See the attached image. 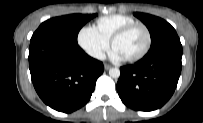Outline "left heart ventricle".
<instances>
[{
  "mask_svg": "<svg viewBox=\"0 0 203 123\" xmlns=\"http://www.w3.org/2000/svg\"><path fill=\"white\" fill-rule=\"evenodd\" d=\"M145 44L146 34L142 28L138 27L119 38L115 42L114 48L119 51L124 58H129L142 51Z\"/></svg>",
  "mask_w": 203,
  "mask_h": 123,
  "instance_id": "left-heart-ventricle-1",
  "label": "left heart ventricle"
}]
</instances>
